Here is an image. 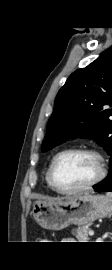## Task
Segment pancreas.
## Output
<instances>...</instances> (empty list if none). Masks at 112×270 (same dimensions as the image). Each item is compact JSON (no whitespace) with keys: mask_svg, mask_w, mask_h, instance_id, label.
<instances>
[{"mask_svg":"<svg viewBox=\"0 0 112 270\" xmlns=\"http://www.w3.org/2000/svg\"><path fill=\"white\" fill-rule=\"evenodd\" d=\"M89 229L86 226L78 227L72 231V234L78 239V242H88Z\"/></svg>","mask_w":112,"mask_h":270,"instance_id":"cf45deb5","label":"pancreas"}]
</instances>
